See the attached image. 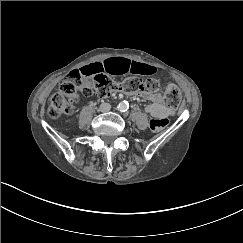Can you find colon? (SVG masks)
<instances>
[{
	"instance_id": "obj_1",
	"label": "colon",
	"mask_w": 243,
	"mask_h": 243,
	"mask_svg": "<svg viewBox=\"0 0 243 243\" xmlns=\"http://www.w3.org/2000/svg\"><path fill=\"white\" fill-rule=\"evenodd\" d=\"M163 91L164 101L173 108L179 106L181 93L179 89L168 84L162 86L153 78L143 80L139 77H128L116 81L103 72L83 73L80 70H73L68 77L60 84L59 90L51 97L48 115L57 119L62 115H69L74 112L75 104L81 96L90 97L95 94L105 97L113 92L122 91L127 94L148 92L151 94ZM168 125L166 118H155L150 121V128L153 131H161Z\"/></svg>"
}]
</instances>
